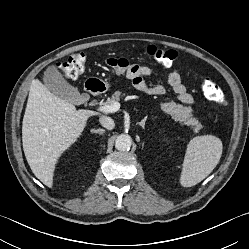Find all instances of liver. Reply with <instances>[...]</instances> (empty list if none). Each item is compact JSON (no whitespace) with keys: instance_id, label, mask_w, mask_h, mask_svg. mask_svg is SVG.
<instances>
[{"instance_id":"liver-1","label":"liver","mask_w":249,"mask_h":249,"mask_svg":"<svg viewBox=\"0 0 249 249\" xmlns=\"http://www.w3.org/2000/svg\"><path fill=\"white\" fill-rule=\"evenodd\" d=\"M96 114L76 110L39 80L32 82L22 123V142L27 162L43 184L52 187L58 159L80 137L89 117Z\"/></svg>"}]
</instances>
